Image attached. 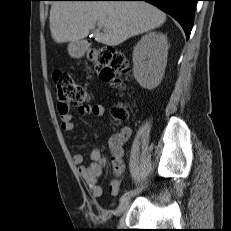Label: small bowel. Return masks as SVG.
<instances>
[{
	"label": "small bowel",
	"mask_w": 231,
	"mask_h": 231,
	"mask_svg": "<svg viewBox=\"0 0 231 231\" xmlns=\"http://www.w3.org/2000/svg\"><path fill=\"white\" fill-rule=\"evenodd\" d=\"M79 113L82 116L100 117L104 114V108L100 104H84L79 107ZM60 128L64 132H71L74 129L73 115L70 112L61 113ZM130 128H124L120 133L114 135L110 141L111 163L113 166L114 178L109 182L108 189L111 195L116 196L120 190V176L124 172L123 163V143L130 137ZM90 164H83V156L76 153L72 156V162L78 167V172L86 182L91 195L95 198L103 193L98 179L103 175L106 160L101 151L94 147L89 153Z\"/></svg>",
	"instance_id": "1"
}]
</instances>
